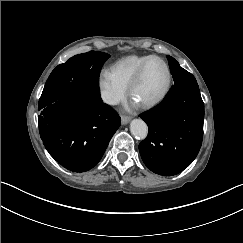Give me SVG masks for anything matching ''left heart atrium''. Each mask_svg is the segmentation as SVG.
Here are the masks:
<instances>
[{
	"instance_id": "obj_1",
	"label": "left heart atrium",
	"mask_w": 243,
	"mask_h": 243,
	"mask_svg": "<svg viewBox=\"0 0 243 243\" xmlns=\"http://www.w3.org/2000/svg\"><path fill=\"white\" fill-rule=\"evenodd\" d=\"M139 106H140V103L132 97L130 99L129 103L127 104V109L135 110V109L139 108Z\"/></svg>"
}]
</instances>
